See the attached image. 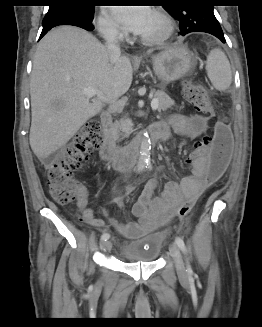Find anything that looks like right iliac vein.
<instances>
[{
  "label": "right iliac vein",
  "mask_w": 262,
  "mask_h": 327,
  "mask_svg": "<svg viewBox=\"0 0 262 327\" xmlns=\"http://www.w3.org/2000/svg\"><path fill=\"white\" fill-rule=\"evenodd\" d=\"M101 248H102L104 251H110L111 248H112V243H111V241H104V242L101 244Z\"/></svg>",
  "instance_id": "1"
}]
</instances>
